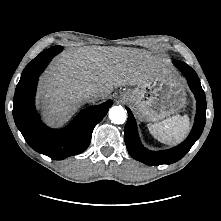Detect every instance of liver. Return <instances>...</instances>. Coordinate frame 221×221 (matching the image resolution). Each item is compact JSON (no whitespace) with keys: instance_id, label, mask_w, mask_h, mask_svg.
I'll list each match as a JSON object with an SVG mask.
<instances>
[{"instance_id":"6515ba94","label":"liver","mask_w":221,"mask_h":221,"mask_svg":"<svg viewBox=\"0 0 221 221\" xmlns=\"http://www.w3.org/2000/svg\"><path fill=\"white\" fill-rule=\"evenodd\" d=\"M165 72L156 57L121 47H86L58 57L42 77L39 96L51 125L64 124L92 88L105 99L116 87L138 86Z\"/></svg>"}]
</instances>
